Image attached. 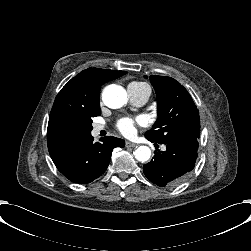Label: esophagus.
Masks as SVG:
<instances>
[{"label":"esophagus","mask_w":251,"mask_h":251,"mask_svg":"<svg viewBox=\"0 0 251 251\" xmlns=\"http://www.w3.org/2000/svg\"><path fill=\"white\" fill-rule=\"evenodd\" d=\"M125 146L128 147V148H131V147L137 146V144H135V143H133V142L127 141L126 144H125Z\"/></svg>","instance_id":"34e87169"}]
</instances>
